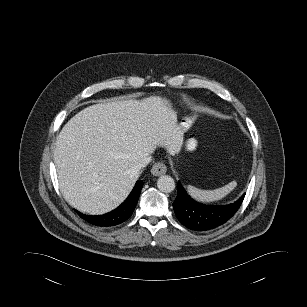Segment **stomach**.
I'll list each match as a JSON object with an SVG mask.
<instances>
[{
  "label": "stomach",
  "mask_w": 307,
  "mask_h": 307,
  "mask_svg": "<svg viewBox=\"0 0 307 307\" xmlns=\"http://www.w3.org/2000/svg\"><path fill=\"white\" fill-rule=\"evenodd\" d=\"M196 146H197V141L194 138H190L186 144L187 149L190 151L194 150Z\"/></svg>",
  "instance_id": "1"
}]
</instances>
